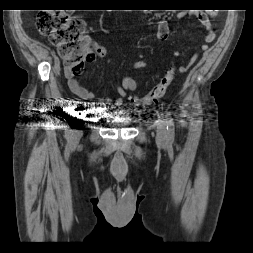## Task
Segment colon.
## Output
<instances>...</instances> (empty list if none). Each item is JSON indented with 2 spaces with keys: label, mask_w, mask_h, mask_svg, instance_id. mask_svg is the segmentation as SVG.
I'll list each match as a JSON object with an SVG mask.
<instances>
[{
  "label": "colon",
  "mask_w": 253,
  "mask_h": 253,
  "mask_svg": "<svg viewBox=\"0 0 253 253\" xmlns=\"http://www.w3.org/2000/svg\"><path fill=\"white\" fill-rule=\"evenodd\" d=\"M39 31L49 36L58 47L59 55L74 75L83 72L87 62L94 58L93 44L85 34L84 22L63 11L43 12L38 15ZM175 76L174 68H170L162 79L146 94L134 96L132 101L139 105H150L162 98Z\"/></svg>",
  "instance_id": "colon-1"
}]
</instances>
